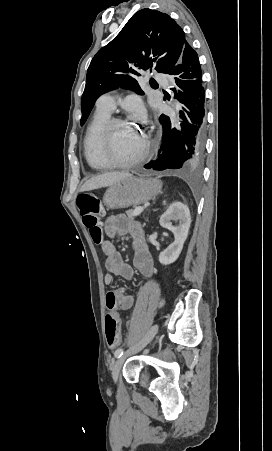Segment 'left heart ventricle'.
Returning a JSON list of instances; mask_svg holds the SVG:
<instances>
[{
	"label": "left heart ventricle",
	"mask_w": 272,
	"mask_h": 451,
	"mask_svg": "<svg viewBox=\"0 0 272 451\" xmlns=\"http://www.w3.org/2000/svg\"><path fill=\"white\" fill-rule=\"evenodd\" d=\"M112 135L115 155L120 159L128 157L133 147L141 139L137 128L128 122L116 124L113 127Z\"/></svg>",
	"instance_id": "b2bd125f"
}]
</instances>
